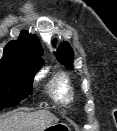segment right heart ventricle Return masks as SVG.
I'll list each match as a JSON object with an SVG mask.
<instances>
[{
	"instance_id": "1",
	"label": "right heart ventricle",
	"mask_w": 117,
	"mask_h": 131,
	"mask_svg": "<svg viewBox=\"0 0 117 131\" xmlns=\"http://www.w3.org/2000/svg\"><path fill=\"white\" fill-rule=\"evenodd\" d=\"M50 88L57 100L67 102L73 99V87L70 79L65 74L56 75L50 84Z\"/></svg>"
}]
</instances>
